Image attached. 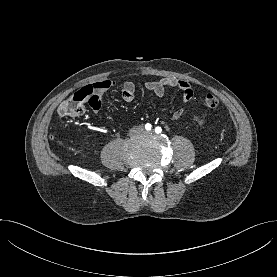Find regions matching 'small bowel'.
I'll use <instances>...</instances> for the list:
<instances>
[{"mask_svg":"<svg viewBox=\"0 0 277 277\" xmlns=\"http://www.w3.org/2000/svg\"><path fill=\"white\" fill-rule=\"evenodd\" d=\"M117 85L116 81L112 79H104L88 85L83 90L91 93L95 99L91 102L90 106L95 113L102 111V95L109 89ZM144 88L151 91L156 97L162 98L169 88H175L182 93V100L188 102L192 99L194 90L192 85L185 80L176 78H162L157 81H146L143 84ZM136 93V86L133 82L126 81L122 85V98L126 102L133 101ZM184 110L177 108L172 112L171 118L173 120L179 119L183 115Z\"/></svg>","mask_w":277,"mask_h":277,"instance_id":"c3829d8e","label":"small bowel"}]
</instances>
